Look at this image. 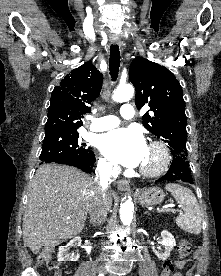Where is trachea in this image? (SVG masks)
<instances>
[{
	"label": "trachea",
	"mask_w": 221,
	"mask_h": 276,
	"mask_svg": "<svg viewBox=\"0 0 221 276\" xmlns=\"http://www.w3.org/2000/svg\"><path fill=\"white\" fill-rule=\"evenodd\" d=\"M120 67V51L118 45H111L110 58H109V70L112 81H116L118 77Z\"/></svg>",
	"instance_id": "3493384b"
}]
</instances>
